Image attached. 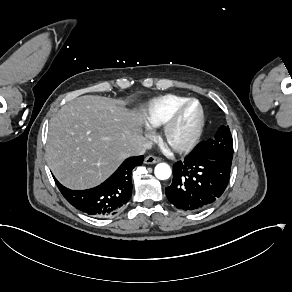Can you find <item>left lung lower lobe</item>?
<instances>
[{"label":"left lung lower lobe","instance_id":"0a47b994","mask_svg":"<svg viewBox=\"0 0 292 292\" xmlns=\"http://www.w3.org/2000/svg\"><path fill=\"white\" fill-rule=\"evenodd\" d=\"M196 148L173 165V180L165 193L176 208L197 212L212 205L225 191L232 158L201 156Z\"/></svg>","mask_w":292,"mask_h":292}]
</instances>
